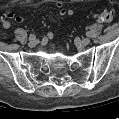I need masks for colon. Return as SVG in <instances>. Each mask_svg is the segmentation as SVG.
Listing matches in <instances>:
<instances>
[{
    "label": "colon",
    "instance_id": "colon-1",
    "mask_svg": "<svg viewBox=\"0 0 119 119\" xmlns=\"http://www.w3.org/2000/svg\"><path fill=\"white\" fill-rule=\"evenodd\" d=\"M114 17H115V12L114 10L110 8L105 9L98 15V19L101 22L107 23V24L113 22Z\"/></svg>",
    "mask_w": 119,
    "mask_h": 119
}]
</instances>
